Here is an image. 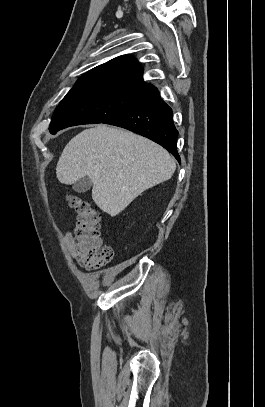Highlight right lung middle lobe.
Segmentation results:
<instances>
[{
  "mask_svg": "<svg viewBox=\"0 0 265 407\" xmlns=\"http://www.w3.org/2000/svg\"><path fill=\"white\" fill-rule=\"evenodd\" d=\"M157 89L136 82L82 76L57 106L49 131L75 125L104 123L149 98Z\"/></svg>",
  "mask_w": 265,
  "mask_h": 407,
  "instance_id": "dd1d6c3e",
  "label": "right lung middle lobe"
}]
</instances>
